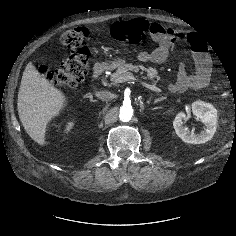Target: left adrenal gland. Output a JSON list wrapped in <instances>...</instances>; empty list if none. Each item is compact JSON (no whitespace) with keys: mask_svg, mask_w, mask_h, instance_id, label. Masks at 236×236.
Segmentation results:
<instances>
[{"mask_svg":"<svg viewBox=\"0 0 236 236\" xmlns=\"http://www.w3.org/2000/svg\"><path fill=\"white\" fill-rule=\"evenodd\" d=\"M166 98H167V97L157 98V99L154 100V104H156V103H158V102H160V101H163V100H165Z\"/></svg>","mask_w":236,"mask_h":236,"instance_id":"a2214340","label":"left adrenal gland"}]
</instances>
